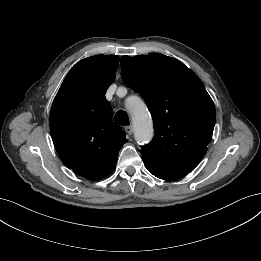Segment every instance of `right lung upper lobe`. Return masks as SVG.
<instances>
[{
  "instance_id": "right-lung-upper-lobe-1",
  "label": "right lung upper lobe",
  "mask_w": 261,
  "mask_h": 261,
  "mask_svg": "<svg viewBox=\"0 0 261 261\" xmlns=\"http://www.w3.org/2000/svg\"><path fill=\"white\" fill-rule=\"evenodd\" d=\"M119 57L97 55L66 75L51 108L50 132L63 163L74 173L99 180L113 172L119 150L127 142L112 121L105 93L115 79Z\"/></svg>"
}]
</instances>
